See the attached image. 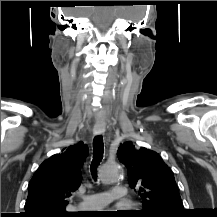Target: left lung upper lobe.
<instances>
[{"label":"left lung upper lobe","mask_w":217,"mask_h":217,"mask_svg":"<svg viewBox=\"0 0 217 217\" xmlns=\"http://www.w3.org/2000/svg\"><path fill=\"white\" fill-rule=\"evenodd\" d=\"M119 160L128 169V183L142 198L145 217H183L184 207L174 175L162 158L131 142L121 144Z\"/></svg>","instance_id":"obj_1"}]
</instances>
